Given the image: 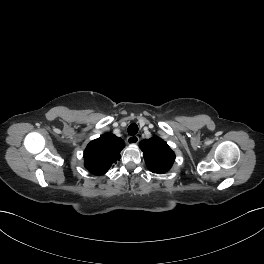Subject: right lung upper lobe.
Wrapping results in <instances>:
<instances>
[{"instance_id": "obj_1", "label": "right lung upper lobe", "mask_w": 264, "mask_h": 264, "mask_svg": "<svg viewBox=\"0 0 264 264\" xmlns=\"http://www.w3.org/2000/svg\"><path fill=\"white\" fill-rule=\"evenodd\" d=\"M125 147L124 141L111 133H106L91 141L85 151V167L95 175L105 174L116 161Z\"/></svg>"}]
</instances>
